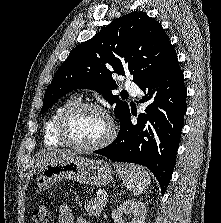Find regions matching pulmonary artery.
Returning a JSON list of instances; mask_svg holds the SVG:
<instances>
[{"mask_svg": "<svg viewBox=\"0 0 221 223\" xmlns=\"http://www.w3.org/2000/svg\"><path fill=\"white\" fill-rule=\"evenodd\" d=\"M124 85L133 96H138L140 94V90L132 80H126Z\"/></svg>", "mask_w": 221, "mask_h": 223, "instance_id": "obj_1", "label": "pulmonary artery"}]
</instances>
